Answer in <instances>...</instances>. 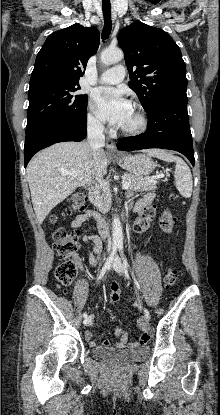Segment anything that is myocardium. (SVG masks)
<instances>
[{
	"label": "myocardium",
	"instance_id": "obj_1",
	"mask_svg": "<svg viewBox=\"0 0 220 415\" xmlns=\"http://www.w3.org/2000/svg\"><path fill=\"white\" fill-rule=\"evenodd\" d=\"M134 111L137 116V123L132 127L121 126V131L127 135H139L148 127V118L145 111L138 105H134Z\"/></svg>",
	"mask_w": 220,
	"mask_h": 415
}]
</instances>
